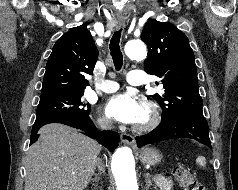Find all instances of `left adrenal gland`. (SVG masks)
<instances>
[{
	"instance_id": "obj_1",
	"label": "left adrenal gland",
	"mask_w": 238,
	"mask_h": 190,
	"mask_svg": "<svg viewBox=\"0 0 238 190\" xmlns=\"http://www.w3.org/2000/svg\"><path fill=\"white\" fill-rule=\"evenodd\" d=\"M145 177H146V186H145V189L148 190L151 186H152L153 188H156V186H154V185L152 184V181H151V179H150V174H149L148 172L145 173Z\"/></svg>"
}]
</instances>
